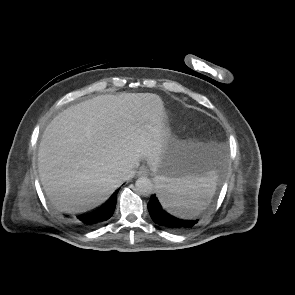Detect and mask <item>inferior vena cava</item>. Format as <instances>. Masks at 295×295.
Here are the masks:
<instances>
[{
  "instance_id": "inferior-vena-cava-1",
  "label": "inferior vena cava",
  "mask_w": 295,
  "mask_h": 295,
  "mask_svg": "<svg viewBox=\"0 0 295 295\" xmlns=\"http://www.w3.org/2000/svg\"><path fill=\"white\" fill-rule=\"evenodd\" d=\"M134 176V171L131 170L128 174H126L124 177H123V180H129L130 178H132Z\"/></svg>"
}]
</instances>
